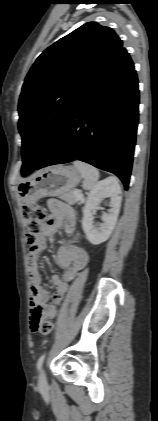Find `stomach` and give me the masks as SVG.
<instances>
[{
  "label": "stomach",
  "mask_w": 158,
  "mask_h": 421,
  "mask_svg": "<svg viewBox=\"0 0 158 421\" xmlns=\"http://www.w3.org/2000/svg\"><path fill=\"white\" fill-rule=\"evenodd\" d=\"M81 181V174L73 166L45 168L18 186L21 200L34 204L42 197L62 196L72 191Z\"/></svg>",
  "instance_id": "0dacf381"
}]
</instances>
